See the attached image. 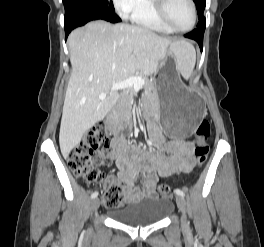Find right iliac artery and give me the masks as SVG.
Listing matches in <instances>:
<instances>
[{
  "mask_svg": "<svg viewBox=\"0 0 264 247\" xmlns=\"http://www.w3.org/2000/svg\"><path fill=\"white\" fill-rule=\"evenodd\" d=\"M97 196H98V192L95 191V192L92 193L91 198L94 199V198H96Z\"/></svg>",
  "mask_w": 264,
  "mask_h": 247,
  "instance_id": "82829eb1",
  "label": "right iliac artery"
}]
</instances>
